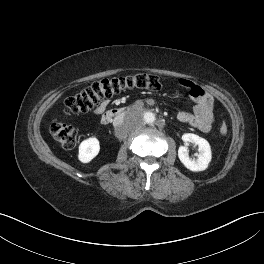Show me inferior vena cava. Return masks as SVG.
Segmentation results:
<instances>
[{
	"mask_svg": "<svg viewBox=\"0 0 264 264\" xmlns=\"http://www.w3.org/2000/svg\"><path fill=\"white\" fill-rule=\"evenodd\" d=\"M113 124H114V126H123V124H124V119H123V117H121V116H116V117H114V119H113Z\"/></svg>",
	"mask_w": 264,
	"mask_h": 264,
	"instance_id": "602c4592",
	"label": "inferior vena cava"
}]
</instances>
